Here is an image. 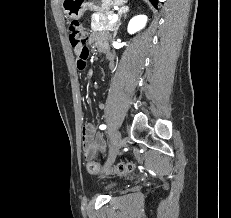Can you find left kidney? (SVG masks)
Here are the masks:
<instances>
[{
	"mask_svg": "<svg viewBox=\"0 0 231 218\" xmlns=\"http://www.w3.org/2000/svg\"><path fill=\"white\" fill-rule=\"evenodd\" d=\"M146 23H147L146 15H137L133 17L128 24V28H127L128 33L134 34L137 31H140L145 27Z\"/></svg>",
	"mask_w": 231,
	"mask_h": 218,
	"instance_id": "5707ae66",
	"label": "left kidney"
}]
</instances>
